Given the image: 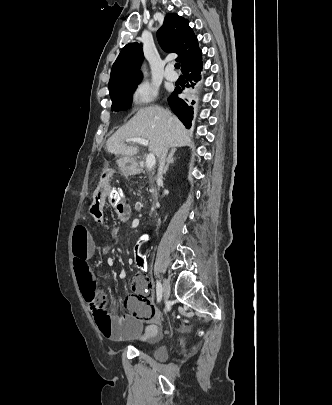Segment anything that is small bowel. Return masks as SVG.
Segmentation results:
<instances>
[{
  "label": "small bowel",
  "mask_w": 332,
  "mask_h": 405,
  "mask_svg": "<svg viewBox=\"0 0 332 405\" xmlns=\"http://www.w3.org/2000/svg\"><path fill=\"white\" fill-rule=\"evenodd\" d=\"M121 167L126 172H136L138 164L132 156H124L121 160ZM112 171L103 169L100 175V182L96 183L94 198L88 210L89 217H93L96 222H103L104 209L110 197L109 184L111 182ZM119 219L127 221L132 213L129 201L124 203L122 212H115ZM73 255V268L76 275V285L78 292H83V302H92L91 320L93 326H97L99 332L112 341H125L130 339H140L157 342L158 317L147 324V321L154 314L150 304L149 285L142 276H136L131 283L132 295L126 299V306L129 313L124 315H114V311H104L106 304L98 301L100 291L99 278L94 274L90 260L95 251L93 237L84 226H76L73 231L71 243ZM105 251L107 249H104ZM110 266L114 265V259L108 261ZM126 265L133 263L132 258H126Z\"/></svg>",
  "instance_id": "c3829d8e"
}]
</instances>
